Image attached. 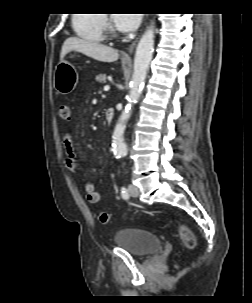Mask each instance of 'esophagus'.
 Returning <instances> with one entry per match:
<instances>
[{"label":"esophagus","instance_id":"obj_1","mask_svg":"<svg viewBox=\"0 0 252 303\" xmlns=\"http://www.w3.org/2000/svg\"><path fill=\"white\" fill-rule=\"evenodd\" d=\"M138 41V38H136L132 43L131 45L129 46L128 48V51L126 53L123 54L122 56V59L125 60V61H130L131 60V54L135 48V45Z\"/></svg>","mask_w":252,"mask_h":303}]
</instances>
